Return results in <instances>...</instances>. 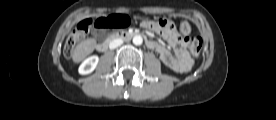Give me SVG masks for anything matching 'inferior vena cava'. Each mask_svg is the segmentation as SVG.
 <instances>
[{
	"label": "inferior vena cava",
	"instance_id": "602c4592",
	"mask_svg": "<svg viewBox=\"0 0 276 120\" xmlns=\"http://www.w3.org/2000/svg\"><path fill=\"white\" fill-rule=\"evenodd\" d=\"M123 44L122 39H114L113 41L110 42L109 48L110 49H115Z\"/></svg>",
	"mask_w": 276,
	"mask_h": 120
}]
</instances>
